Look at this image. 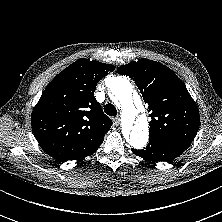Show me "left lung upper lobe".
I'll use <instances>...</instances> for the list:
<instances>
[{"instance_id":"5c2ea615","label":"left lung upper lobe","mask_w":222,"mask_h":222,"mask_svg":"<svg viewBox=\"0 0 222 222\" xmlns=\"http://www.w3.org/2000/svg\"><path fill=\"white\" fill-rule=\"evenodd\" d=\"M132 78L150 112V138L192 142L200 124L199 110L184 83L165 65L139 59L117 69Z\"/></svg>"}]
</instances>
